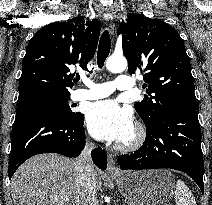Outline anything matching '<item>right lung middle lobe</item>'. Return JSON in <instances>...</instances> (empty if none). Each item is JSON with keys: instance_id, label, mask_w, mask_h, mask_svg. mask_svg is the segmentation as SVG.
<instances>
[{"instance_id": "right-lung-middle-lobe-1", "label": "right lung middle lobe", "mask_w": 212, "mask_h": 205, "mask_svg": "<svg viewBox=\"0 0 212 205\" xmlns=\"http://www.w3.org/2000/svg\"><path fill=\"white\" fill-rule=\"evenodd\" d=\"M70 94L51 92H36L19 97L17 109L25 106H41L52 109L69 119H79L83 116L80 112H73L68 104Z\"/></svg>"}]
</instances>
